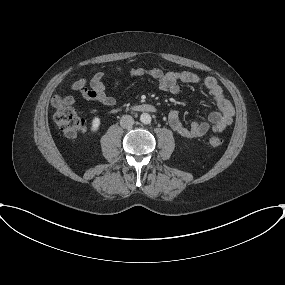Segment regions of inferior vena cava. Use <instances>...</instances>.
I'll return each instance as SVG.
<instances>
[{"label": "inferior vena cava", "instance_id": "1", "mask_svg": "<svg viewBox=\"0 0 285 285\" xmlns=\"http://www.w3.org/2000/svg\"><path fill=\"white\" fill-rule=\"evenodd\" d=\"M134 124V119L130 115H123L120 119V125L123 128H131Z\"/></svg>", "mask_w": 285, "mask_h": 285}]
</instances>
